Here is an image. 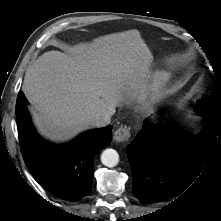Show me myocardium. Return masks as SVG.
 <instances>
[{
    "instance_id": "f54148a6",
    "label": "myocardium",
    "mask_w": 221,
    "mask_h": 221,
    "mask_svg": "<svg viewBox=\"0 0 221 221\" xmlns=\"http://www.w3.org/2000/svg\"><path fill=\"white\" fill-rule=\"evenodd\" d=\"M169 81L170 76L168 73H160L156 78V93L160 94L164 92Z\"/></svg>"
}]
</instances>
